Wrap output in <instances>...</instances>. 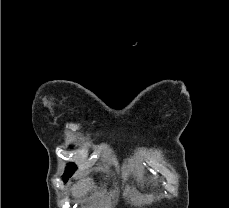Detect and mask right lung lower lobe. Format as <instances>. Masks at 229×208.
<instances>
[{
    "label": "right lung lower lobe",
    "mask_w": 229,
    "mask_h": 208,
    "mask_svg": "<svg viewBox=\"0 0 229 208\" xmlns=\"http://www.w3.org/2000/svg\"><path fill=\"white\" fill-rule=\"evenodd\" d=\"M68 178H63L64 181H66Z\"/></svg>",
    "instance_id": "obj_1"
}]
</instances>
